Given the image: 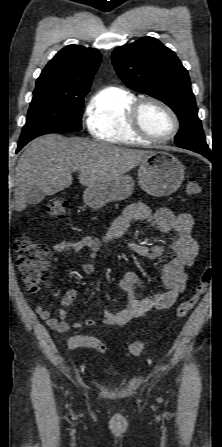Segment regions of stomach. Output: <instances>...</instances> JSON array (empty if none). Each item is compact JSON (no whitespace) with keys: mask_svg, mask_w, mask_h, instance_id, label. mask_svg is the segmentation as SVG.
<instances>
[{"mask_svg":"<svg viewBox=\"0 0 222 447\" xmlns=\"http://www.w3.org/2000/svg\"><path fill=\"white\" fill-rule=\"evenodd\" d=\"M184 180V166L173 155L157 151L143 160L138 169V182L149 195L162 197L174 193ZM134 181L129 175H121L103 185L89 186L83 194L91 208H101L111 201L131 196Z\"/></svg>","mask_w":222,"mask_h":447,"instance_id":"1","label":"stomach"}]
</instances>
